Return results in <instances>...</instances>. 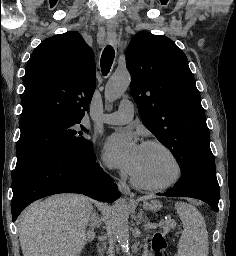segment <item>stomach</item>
Instances as JSON below:
<instances>
[{
  "mask_svg": "<svg viewBox=\"0 0 236 256\" xmlns=\"http://www.w3.org/2000/svg\"><path fill=\"white\" fill-rule=\"evenodd\" d=\"M143 207L151 211H156L161 208V204L158 201L144 202Z\"/></svg>",
  "mask_w": 236,
  "mask_h": 256,
  "instance_id": "1",
  "label": "stomach"
}]
</instances>
